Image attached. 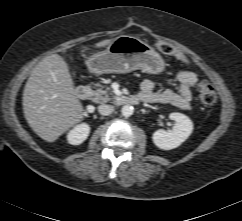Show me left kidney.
I'll return each mask as SVG.
<instances>
[{
  "instance_id": "1",
  "label": "left kidney",
  "mask_w": 242,
  "mask_h": 221,
  "mask_svg": "<svg viewBox=\"0 0 242 221\" xmlns=\"http://www.w3.org/2000/svg\"><path fill=\"white\" fill-rule=\"evenodd\" d=\"M169 117L175 121L173 129L169 131L159 129L152 136L154 144L163 150L177 148L193 131V122L188 116L182 113H171Z\"/></svg>"
}]
</instances>
